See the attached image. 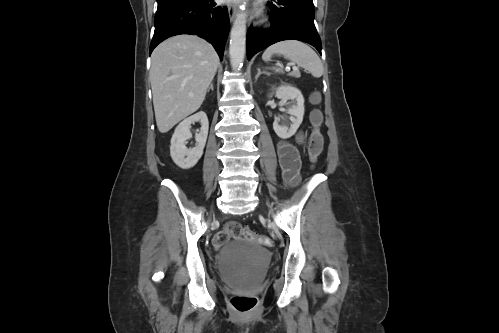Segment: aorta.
Wrapping results in <instances>:
<instances>
[{"label": "aorta", "mask_w": 499, "mask_h": 333, "mask_svg": "<svg viewBox=\"0 0 499 333\" xmlns=\"http://www.w3.org/2000/svg\"><path fill=\"white\" fill-rule=\"evenodd\" d=\"M246 19L245 12H240L234 21L230 32L229 55L230 63L234 70L241 67L246 50Z\"/></svg>", "instance_id": "1"}]
</instances>
